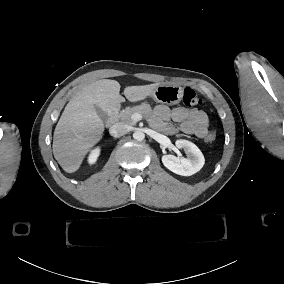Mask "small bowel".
Masks as SVG:
<instances>
[{
	"instance_id": "1",
	"label": "small bowel",
	"mask_w": 284,
	"mask_h": 284,
	"mask_svg": "<svg viewBox=\"0 0 284 284\" xmlns=\"http://www.w3.org/2000/svg\"><path fill=\"white\" fill-rule=\"evenodd\" d=\"M176 123V124H174ZM153 124L168 134L183 133L204 139L208 134L207 114L198 109L158 105L154 109Z\"/></svg>"
}]
</instances>
